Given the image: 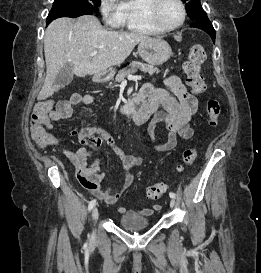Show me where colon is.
<instances>
[{
	"instance_id": "1",
	"label": "colon",
	"mask_w": 261,
	"mask_h": 273,
	"mask_svg": "<svg viewBox=\"0 0 261 273\" xmlns=\"http://www.w3.org/2000/svg\"><path fill=\"white\" fill-rule=\"evenodd\" d=\"M206 60L205 48L200 44H195L191 47L188 59L183 65V70L186 75L188 86L196 94H201L205 91L206 85L200 67ZM77 101L74 96L71 102ZM53 112L58 113L62 118H67L72 114V106L70 103L54 102L48 100L36 105L33 110L30 122V133L32 139L41 147H49L55 143L53 136L46 129V120ZM206 113L208 122L211 127H216L219 123L221 114L220 103L215 99H210L206 104ZM197 157V150L195 148L186 149L183 153V164L179 166L178 170L183 171L185 167L190 166ZM167 190L165 183H158L147 188L146 194L150 199L160 198Z\"/></svg>"
}]
</instances>
